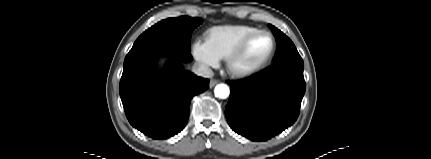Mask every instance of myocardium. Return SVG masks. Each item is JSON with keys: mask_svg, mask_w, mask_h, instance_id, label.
<instances>
[{"mask_svg": "<svg viewBox=\"0 0 431 159\" xmlns=\"http://www.w3.org/2000/svg\"><path fill=\"white\" fill-rule=\"evenodd\" d=\"M267 35L271 38L272 41V48L270 53L268 54V56L261 61L259 64L250 67V68H246V69H238L236 67V62L237 60L241 57V55L244 53V51L246 50L247 46L249 45V43L258 35ZM276 49H277V42L276 39L274 37V35L267 31V30H256L250 34H248L246 37H244L239 44L231 51V53L226 57L225 61H226V68L228 73L235 78H247L250 77L252 75L257 74L258 72L262 71L263 69H265L270 62L272 61L275 53H276Z\"/></svg>", "mask_w": 431, "mask_h": 159, "instance_id": "obj_1", "label": "myocardium"}]
</instances>
